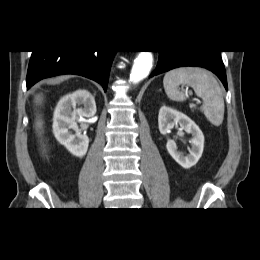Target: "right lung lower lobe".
Returning <instances> with one entry per match:
<instances>
[{
    "mask_svg": "<svg viewBox=\"0 0 260 260\" xmlns=\"http://www.w3.org/2000/svg\"><path fill=\"white\" fill-rule=\"evenodd\" d=\"M114 54L115 51H33L27 72V89L44 78L76 74L100 83L106 91Z\"/></svg>",
    "mask_w": 260,
    "mask_h": 260,
    "instance_id": "98d812e1",
    "label": "right lung lower lobe"
}]
</instances>
